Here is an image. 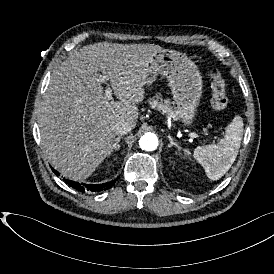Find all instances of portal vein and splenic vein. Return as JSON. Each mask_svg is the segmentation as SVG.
I'll return each instance as SVG.
<instances>
[{
  "label": "portal vein and splenic vein",
  "mask_w": 274,
  "mask_h": 274,
  "mask_svg": "<svg viewBox=\"0 0 274 274\" xmlns=\"http://www.w3.org/2000/svg\"><path fill=\"white\" fill-rule=\"evenodd\" d=\"M101 77V81H104L105 80V76H103V75H101L100 76ZM105 93H106V96H107V98H110L111 99V97H112V88L110 87V86H106L105 87Z\"/></svg>",
  "instance_id": "portal-vein-and-splenic-vein-1"
}]
</instances>
